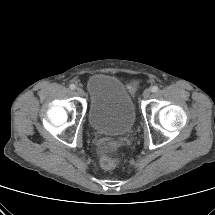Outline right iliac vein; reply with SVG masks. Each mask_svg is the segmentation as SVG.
<instances>
[{"label": "right iliac vein", "mask_w": 215, "mask_h": 215, "mask_svg": "<svg viewBox=\"0 0 215 215\" xmlns=\"http://www.w3.org/2000/svg\"><path fill=\"white\" fill-rule=\"evenodd\" d=\"M76 92H77V94H78L79 96H83V95H84V91H83V89L80 88V87L76 88Z\"/></svg>", "instance_id": "1"}]
</instances>
